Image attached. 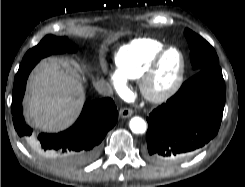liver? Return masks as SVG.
Returning a JSON list of instances; mask_svg holds the SVG:
<instances>
[{
    "label": "liver",
    "instance_id": "liver-1",
    "mask_svg": "<svg viewBox=\"0 0 245 187\" xmlns=\"http://www.w3.org/2000/svg\"><path fill=\"white\" fill-rule=\"evenodd\" d=\"M77 69L59 58L44 60L35 68L25 100L26 117L35 127L57 132L77 118L85 97Z\"/></svg>",
    "mask_w": 245,
    "mask_h": 187
}]
</instances>
